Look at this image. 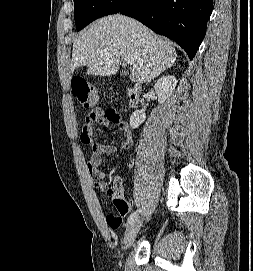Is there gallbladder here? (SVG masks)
<instances>
[{"label": "gallbladder", "mask_w": 253, "mask_h": 271, "mask_svg": "<svg viewBox=\"0 0 253 271\" xmlns=\"http://www.w3.org/2000/svg\"><path fill=\"white\" fill-rule=\"evenodd\" d=\"M127 74H128L127 71H122V72H121V76H126Z\"/></svg>", "instance_id": "obj_1"}]
</instances>
